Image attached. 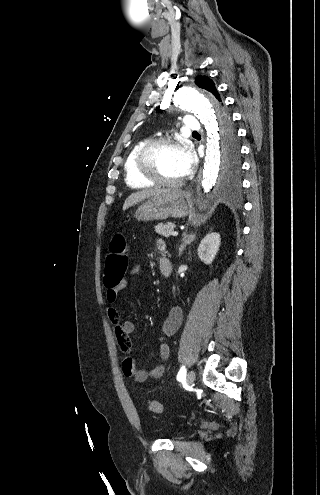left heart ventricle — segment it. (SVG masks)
<instances>
[{"instance_id":"1","label":"left heart ventricle","mask_w":320,"mask_h":495,"mask_svg":"<svg viewBox=\"0 0 320 495\" xmlns=\"http://www.w3.org/2000/svg\"><path fill=\"white\" fill-rule=\"evenodd\" d=\"M184 153V149L175 146H164L158 149L152 158L156 172L165 179L177 180L183 178Z\"/></svg>"}]
</instances>
